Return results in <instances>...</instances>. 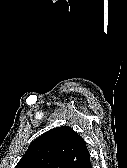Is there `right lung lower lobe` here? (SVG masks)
<instances>
[{"mask_svg": "<svg viewBox=\"0 0 127 168\" xmlns=\"http://www.w3.org/2000/svg\"><path fill=\"white\" fill-rule=\"evenodd\" d=\"M76 168H92L90 159L84 161L80 165H78Z\"/></svg>", "mask_w": 127, "mask_h": 168, "instance_id": "right-lung-lower-lobe-1", "label": "right lung lower lobe"}]
</instances>
